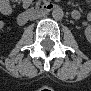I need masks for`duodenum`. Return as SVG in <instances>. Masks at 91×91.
I'll return each mask as SVG.
<instances>
[{
    "label": "duodenum",
    "mask_w": 91,
    "mask_h": 91,
    "mask_svg": "<svg viewBox=\"0 0 91 91\" xmlns=\"http://www.w3.org/2000/svg\"><path fill=\"white\" fill-rule=\"evenodd\" d=\"M57 8L55 3H43L29 7L23 11L17 18L19 25L26 24L29 20L47 14Z\"/></svg>",
    "instance_id": "obj_1"
}]
</instances>
